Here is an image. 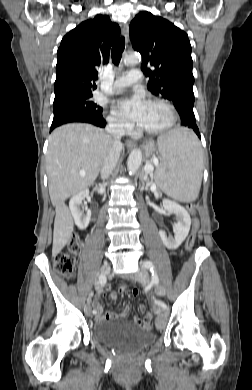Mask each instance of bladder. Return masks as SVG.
<instances>
[{"label": "bladder", "mask_w": 252, "mask_h": 390, "mask_svg": "<svg viewBox=\"0 0 252 390\" xmlns=\"http://www.w3.org/2000/svg\"><path fill=\"white\" fill-rule=\"evenodd\" d=\"M92 337L100 344L125 354L137 353L155 340L150 329L113 320L96 322L93 325Z\"/></svg>", "instance_id": "obj_1"}]
</instances>
